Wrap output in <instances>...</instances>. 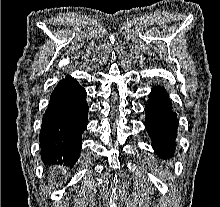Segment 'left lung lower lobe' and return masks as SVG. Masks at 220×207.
Instances as JSON below:
<instances>
[{"mask_svg": "<svg viewBox=\"0 0 220 207\" xmlns=\"http://www.w3.org/2000/svg\"><path fill=\"white\" fill-rule=\"evenodd\" d=\"M145 112L146 130L152 138L154 151L163 159L173 156L178 121L169 96L162 87L152 89Z\"/></svg>", "mask_w": 220, "mask_h": 207, "instance_id": "1", "label": "left lung lower lobe"}]
</instances>
